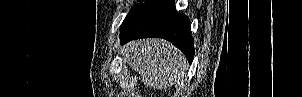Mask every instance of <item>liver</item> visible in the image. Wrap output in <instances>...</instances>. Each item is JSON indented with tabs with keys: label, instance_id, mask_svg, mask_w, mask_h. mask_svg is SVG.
<instances>
[{
	"label": "liver",
	"instance_id": "obj_1",
	"mask_svg": "<svg viewBox=\"0 0 302 97\" xmlns=\"http://www.w3.org/2000/svg\"><path fill=\"white\" fill-rule=\"evenodd\" d=\"M124 58L148 87L167 90L184 76L187 60L163 39H140L123 47Z\"/></svg>",
	"mask_w": 302,
	"mask_h": 97
}]
</instances>
